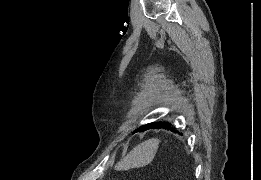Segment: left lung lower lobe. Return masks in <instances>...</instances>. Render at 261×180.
<instances>
[{"label": "left lung lower lobe", "instance_id": "1", "mask_svg": "<svg viewBox=\"0 0 261 180\" xmlns=\"http://www.w3.org/2000/svg\"><path fill=\"white\" fill-rule=\"evenodd\" d=\"M151 128H163V129H171V130H175L174 127L171 126L170 123L168 122H155L151 125H149L148 127L144 128L143 130H138V131H145Z\"/></svg>", "mask_w": 261, "mask_h": 180}]
</instances>
